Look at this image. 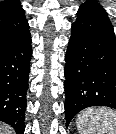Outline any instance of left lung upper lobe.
I'll return each mask as SVG.
<instances>
[{
    "label": "left lung upper lobe",
    "instance_id": "obj_1",
    "mask_svg": "<svg viewBox=\"0 0 116 134\" xmlns=\"http://www.w3.org/2000/svg\"><path fill=\"white\" fill-rule=\"evenodd\" d=\"M92 3L99 5V3L95 2V1H88V2L83 3L80 7H84V6H87V5L92 4Z\"/></svg>",
    "mask_w": 116,
    "mask_h": 134
}]
</instances>
